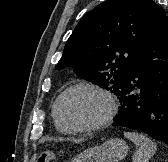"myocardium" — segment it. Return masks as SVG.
Segmentation results:
<instances>
[{
    "label": "myocardium",
    "instance_id": "obj_1",
    "mask_svg": "<svg viewBox=\"0 0 168 162\" xmlns=\"http://www.w3.org/2000/svg\"><path fill=\"white\" fill-rule=\"evenodd\" d=\"M79 89H88V90L94 91V92L100 94L106 100L107 111L102 119H100L99 121H97L95 123L88 124V125H81V126H72V125L65 123L62 120L61 115H60V104H61L63 98L67 94H69L75 90H79ZM115 113H116V104H115V100H114L112 94L107 89H105L101 86H98L93 83H86V82L77 83V84H74V85L68 87L67 89H65L57 97V99L54 103V107H53V116H54L55 121L62 129H64L65 131H68V132H90V131H96V130L103 129L111 123V121L113 120V118L115 116Z\"/></svg>",
    "mask_w": 168,
    "mask_h": 162
}]
</instances>
